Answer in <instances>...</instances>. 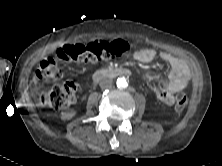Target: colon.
Here are the masks:
<instances>
[{
    "label": "colon",
    "instance_id": "5ec220e1",
    "mask_svg": "<svg viewBox=\"0 0 222 166\" xmlns=\"http://www.w3.org/2000/svg\"><path fill=\"white\" fill-rule=\"evenodd\" d=\"M130 45L123 40L95 41L87 44H69L60 48L57 58L73 62H97L122 56L128 52ZM36 75L41 80H56L61 77V70L57 59L44 58ZM77 86L74 82L67 81L53 86L48 92L42 94L39 103L43 107L53 110L66 108L76 98ZM188 103V96L181 93L176 98L175 108L181 111Z\"/></svg>",
    "mask_w": 222,
    "mask_h": 166
}]
</instances>
